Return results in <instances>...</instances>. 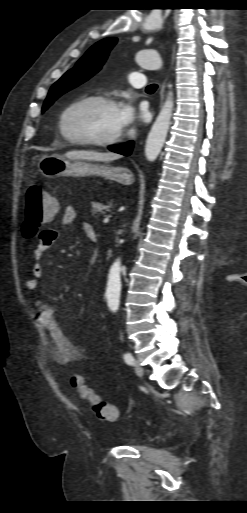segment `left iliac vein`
<instances>
[{"instance_id": "left-iliac-vein-1", "label": "left iliac vein", "mask_w": 247, "mask_h": 513, "mask_svg": "<svg viewBox=\"0 0 247 513\" xmlns=\"http://www.w3.org/2000/svg\"><path fill=\"white\" fill-rule=\"evenodd\" d=\"M134 369H135V372H136L137 375H139V376L143 375L144 370H143L140 362L137 361V360H135V362H134Z\"/></svg>"}]
</instances>
